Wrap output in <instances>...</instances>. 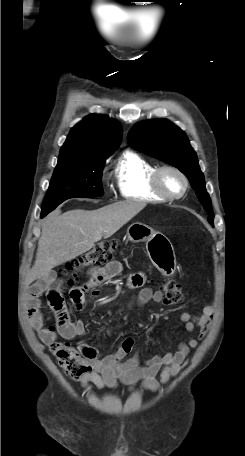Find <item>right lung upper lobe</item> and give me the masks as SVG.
Listing matches in <instances>:
<instances>
[{
    "mask_svg": "<svg viewBox=\"0 0 245 456\" xmlns=\"http://www.w3.org/2000/svg\"><path fill=\"white\" fill-rule=\"evenodd\" d=\"M121 135L122 126L118 121L91 114L71 129L58 163L106 159L118 147Z\"/></svg>",
    "mask_w": 245,
    "mask_h": 456,
    "instance_id": "cb5924a9",
    "label": "right lung upper lobe"
}]
</instances>
